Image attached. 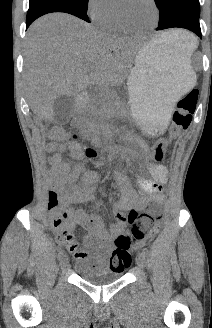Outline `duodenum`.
I'll use <instances>...</instances> for the list:
<instances>
[{
  "label": "duodenum",
  "mask_w": 212,
  "mask_h": 328,
  "mask_svg": "<svg viewBox=\"0 0 212 328\" xmlns=\"http://www.w3.org/2000/svg\"><path fill=\"white\" fill-rule=\"evenodd\" d=\"M88 98V94L86 93L84 96H83V100H86ZM81 106H82V101H79L76 106H75V109H74V112L75 113H79L80 109H81Z\"/></svg>",
  "instance_id": "obj_1"
}]
</instances>
